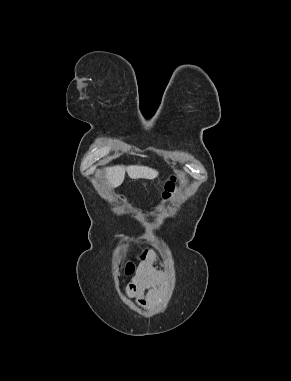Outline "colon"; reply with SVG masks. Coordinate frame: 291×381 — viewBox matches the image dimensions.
<instances>
[{
    "instance_id": "obj_1",
    "label": "colon",
    "mask_w": 291,
    "mask_h": 381,
    "mask_svg": "<svg viewBox=\"0 0 291 381\" xmlns=\"http://www.w3.org/2000/svg\"><path fill=\"white\" fill-rule=\"evenodd\" d=\"M178 181L179 179L177 176H172L171 179L165 184V189L163 192L164 200H169L173 196L176 191Z\"/></svg>"
}]
</instances>
